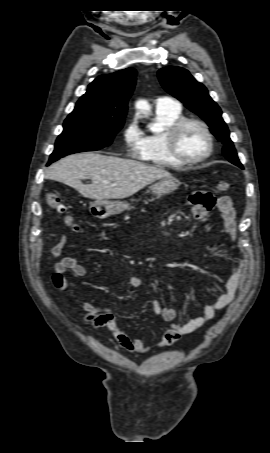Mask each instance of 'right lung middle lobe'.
Instances as JSON below:
<instances>
[{
  "instance_id": "1",
  "label": "right lung middle lobe",
  "mask_w": 270,
  "mask_h": 453,
  "mask_svg": "<svg viewBox=\"0 0 270 453\" xmlns=\"http://www.w3.org/2000/svg\"><path fill=\"white\" fill-rule=\"evenodd\" d=\"M123 124L92 115L67 117L50 163L68 154L99 150L110 145Z\"/></svg>"
}]
</instances>
